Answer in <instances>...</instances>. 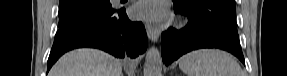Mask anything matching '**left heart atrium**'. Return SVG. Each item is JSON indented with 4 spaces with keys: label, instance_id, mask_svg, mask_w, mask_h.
<instances>
[{
    "label": "left heart atrium",
    "instance_id": "obj_1",
    "mask_svg": "<svg viewBox=\"0 0 287 76\" xmlns=\"http://www.w3.org/2000/svg\"><path fill=\"white\" fill-rule=\"evenodd\" d=\"M133 13L150 21H162L168 16L166 3L162 0H140L133 7Z\"/></svg>",
    "mask_w": 287,
    "mask_h": 76
}]
</instances>
